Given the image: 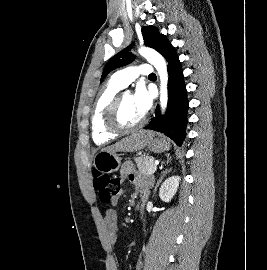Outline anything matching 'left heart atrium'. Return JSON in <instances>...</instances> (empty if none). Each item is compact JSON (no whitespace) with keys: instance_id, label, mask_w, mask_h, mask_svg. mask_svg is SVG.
I'll use <instances>...</instances> for the list:
<instances>
[{"instance_id":"1","label":"left heart atrium","mask_w":267,"mask_h":270,"mask_svg":"<svg viewBox=\"0 0 267 270\" xmlns=\"http://www.w3.org/2000/svg\"><path fill=\"white\" fill-rule=\"evenodd\" d=\"M136 109L143 116L148 112L152 104V97L150 92L143 84L136 87L135 93L132 96Z\"/></svg>"}]
</instances>
